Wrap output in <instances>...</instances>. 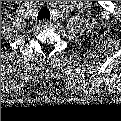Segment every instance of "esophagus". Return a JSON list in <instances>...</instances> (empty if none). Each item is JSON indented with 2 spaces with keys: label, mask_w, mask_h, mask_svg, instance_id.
<instances>
[{
  "label": "esophagus",
  "mask_w": 121,
  "mask_h": 121,
  "mask_svg": "<svg viewBox=\"0 0 121 121\" xmlns=\"http://www.w3.org/2000/svg\"><path fill=\"white\" fill-rule=\"evenodd\" d=\"M40 23H41V25H42L43 27H45V28L51 26V23H50L48 20H42Z\"/></svg>",
  "instance_id": "esophagus-1"
}]
</instances>
